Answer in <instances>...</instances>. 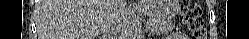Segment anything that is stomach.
<instances>
[{"label":"stomach","instance_id":"0dacf381","mask_svg":"<svg viewBox=\"0 0 249 39\" xmlns=\"http://www.w3.org/2000/svg\"><path fill=\"white\" fill-rule=\"evenodd\" d=\"M176 0H144L142 12L153 20H170L178 13Z\"/></svg>","mask_w":249,"mask_h":39}]
</instances>
